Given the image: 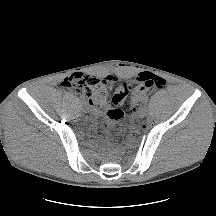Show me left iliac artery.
<instances>
[{
  "label": "left iliac artery",
  "instance_id": "obj_1",
  "mask_svg": "<svg viewBox=\"0 0 216 216\" xmlns=\"http://www.w3.org/2000/svg\"><path fill=\"white\" fill-rule=\"evenodd\" d=\"M149 101H150V100L147 98V99H144L142 103H143V105H148V104H149Z\"/></svg>",
  "mask_w": 216,
  "mask_h": 216
}]
</instances>
